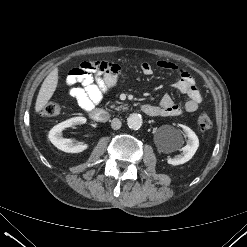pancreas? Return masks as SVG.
<instances>
[{"label":"pancreas","mask_w":247,"mask_h":247,"mask_svg":"<svg viewBox=\"0 0 247 247\" xmlns=\"http://www.w3.org/2000/svg\"><path fill=\"white\" fill-rule=\"evenodd\" d=\"M117 104H122V103L117 101ZM114 107H115L114 105H111V108H114ZM116 109L117 110H120V109L126 110L127 107H126V105H121V106H118Z\"/></svg>","instance_id":"pancreas-1"}]
</instances>
